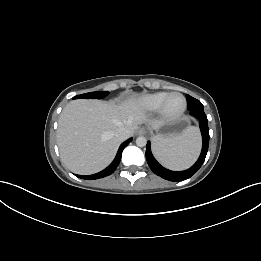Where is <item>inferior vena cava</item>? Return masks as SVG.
Returning a JSON list of instances; mask_svg holds the SVG:
<instances>
[{
	"instance_id": "1",
	"label": "inferior vena cava",
	"mask_w": 261,
	"mask_h": 261,
	"mask_svg": "<svg viewBox=\"0 0 261 261\" xmlns=\"http://www.w3.org/2000/svg\"><path fill=\"white\" fill-rule=\"evenodd\" d=\"M129 135V131L125 128H119L116 132H115V136L116 138L120 139V140H125Z\"/></svg>"
}]
</instances>
